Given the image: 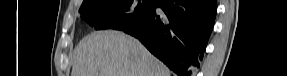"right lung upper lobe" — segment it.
<instances>
[{
  "label": "right lung upper lobe",
  "instance_id": "obj_1",
  "mask_svg": "<svg viewBox=\"0 0 287 76\" xmlns=\"http://www.w3.org/2000/svg\"><path fill=\"white\" fill-rule=\"evenodd\" d=\"M87 1H88V0H84L83 3H84V2H87Z\"/></svg>",
  "mask_w": 287,
  "mask_h": 76
}]
</instances>
